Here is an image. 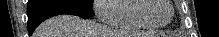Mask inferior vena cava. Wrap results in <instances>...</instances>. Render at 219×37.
I'll use <instances>...</instances> for the list:
<instances>
[{"label": "inferior vena cava", "mask_w": 219, "mask_h": 37, "mask_svg": "<svg viewBox=\"0 0 219 37\" xmlns=\"http://www.w3.org/2000/svg\"><path fill=\"white\" fill-rule=\"evenodd\" d=\"M94 34L95 36H98V37H105V36H108V34L110 33L105 26H102L101 24L97 23L95 30H94Z\"/></svg>", "instance_id": "obj_1"}]
</instances>
